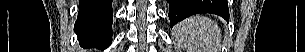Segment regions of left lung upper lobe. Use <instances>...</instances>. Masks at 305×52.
Here are the masks:
<instances>
[{
  "instance_id": "obj_1",
  "label": "left lung upper lobe",
  "mask_w": 305,
  "mask_h": 52,
  "mask_svg": "<svg viewBox=\"0 0 305 52\" xmlns=\"http://www.w3.org/2000/svg\"><path fill=\"white\" fill-rule=\"evenodd\" d=\"M199 12H200V9H187L186 11L177 15L176 21L179 22V21L185 19L186 17L199 13Z\"/></svg>"
}]
</instances>
